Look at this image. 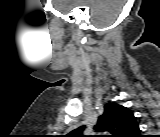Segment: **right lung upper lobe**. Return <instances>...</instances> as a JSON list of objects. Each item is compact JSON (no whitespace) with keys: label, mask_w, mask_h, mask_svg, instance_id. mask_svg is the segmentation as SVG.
Instances as JSON below:
<instances>
[{"label":"right lung upper lobe","mask_w":160,"mask_h":137,"mask_svg":"<svg viewBox=\"0 0 160 137\" xmlns=\"http://www.w3.org/2000/svg\"><path fill=\"white\" fill-rule=\"evenodd\" d=\"M84 126L77 129L82 134ZM97 132L109 131L114 137H137L140 133L136 118L126 107L116 103L104 106V113L99 117L94 127Z\"/></svg>","instance_id":"right-lung-upper-lobe-1"}]
</instances>
